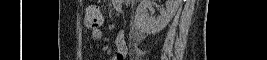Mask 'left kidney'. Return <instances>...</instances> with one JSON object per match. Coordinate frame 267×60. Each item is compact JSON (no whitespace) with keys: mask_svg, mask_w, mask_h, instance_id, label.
<instances>
[{"mask_svg":"<svg viewBox=\"0 0 267 60\" xmlns=\"http://www.w3.org/2000/svg\"><path fill=\"white\" fill-rule=\"evenodd\" d=\"M180 3L181 0H167L166 9H160V16L155 18L148 13V9L153 13L151 0H141L136 9L135 22L146 33H158L172 20Z\"/></svg>","mask_w":267,"mask_h":60,"instance_id":"left-kidney-1","label":"left kidney"}]
</instances>
